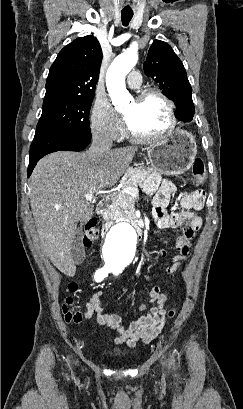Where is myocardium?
Here are the masks:
<instances>
[{
	"label": "myocardium",
	"instance_id": "f54148a6",
	"mask_svg": "<svg viewBox=\"0 0 243 409\" xmlns=\"http://www.w3.org/2000/svg\"><path fill=\"white\" fill-rule=\"evenodd\" d=\"M150 97H156L165 104L166 109H167L169 123H168V126L159 133L152 134V135H140V134L135 133L129 127L128 123L125 120V127H126L127 135L131 140L135 142L145 143V142H152V141L158 140L164 137L165 135L171 133L177 125V117L175 113L174 103L168 96H166L160 90L156 88H147V89L141 90L135 95V100L138 102H141Z\"/></svg>",
	"mask_w": 243,
	"mask_h": 409
}]
</instances>
